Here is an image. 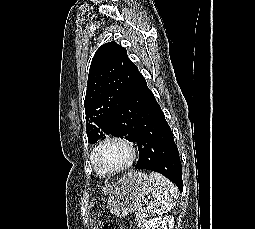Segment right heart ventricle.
Listing matches in <instances>:
<instances>
[{
	"instance_id": "obj_1",
	"label": "right heart ventricle",
	"mask_w": 255,
	"mask_h": 229,
	"mask_svg": "<svg viewBox=\"0 0 255 229\" xmlns=\"http://www.w3.org/2000/svg\"><path fill=\"white\" fill-rule=\"evenodd\" d=\"M93 167H94V170L96 171V173L99 175V176H106L107 174L105 173V171L99 167V166H95L93 164Z\"/></svg>"
}]
</instances>
